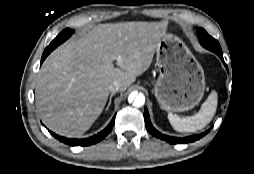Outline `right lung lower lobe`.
<instances>
[{
    "label": "right lung lower lobe",
    "instance_id": "obj_1",
    "mask_svg": "<svg viewBox=\"0 0 254 174\" xmlns=\"http://www.w3.org/2000/svg\"><path fill=\"white\" fill-rule=\"evenodd\" d=\"M70 36L68 34H59L52 42L51 44L45 49L42 58H41V63L45 60V58L53 51L58 45H60L62 42H64L67 38ZM115 122V116L112 118L111 122L109 125L102 130L100 133L97 135H94L89 138L85 139H69L65 138L62 136H58L57 134L50 132L51 135H53L56 139L60 140L61 142L71 145V146H88L95 144L99 141H101L111 130Z\"/></svg>",
    "mask_w": 254,
    "mask_h": 174
}]
</instances>
